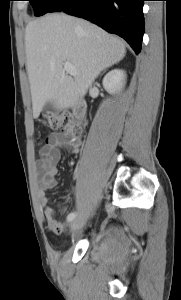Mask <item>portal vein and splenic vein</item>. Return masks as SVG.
Here are the masks:
<instances>
[{
    "label": "portal vein and splenic vein",
    "instance_id": "18ae733b",
    "mask_svg": "<svg viewBox=\"0 0 181 300\" xmlns=\"http://www.w3.org/2000/svg\"><path fill=\"white\" fill-rule=\"evenodd\" d=\"M64 70L72 76H75L77 74L75 67L69 62L64 63Z\"/></svg>",
    "mask_w": 181,
    "mask_h": 300
}]
</instances>
